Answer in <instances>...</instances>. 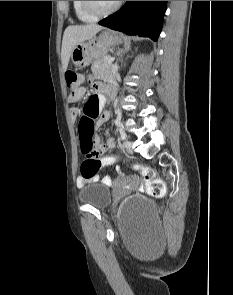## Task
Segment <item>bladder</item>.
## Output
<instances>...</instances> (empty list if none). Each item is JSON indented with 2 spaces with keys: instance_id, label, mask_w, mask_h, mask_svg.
Here are the masks:
<instances>
[{
  "instance_id": "31cf9c89",
  "label": "bladder",
  "mask_w": 233,
  "mask_h": 295,
  "mask_svg": "<svg viewBox=\"0 0 233 295\" xmlns=\"http://www.w3.org/2000/svg\"><path fill=\"white\" fill-rule=\"evenodd\" d=\"M78 198L83 204L96 209H106L112 201L110 190L101 183H91L80 189ZM122 213H142L147 220L153 221L155 206L152 201L142 196H131L126 198L121 205Z\"/></svg>"
}]
</instances>
